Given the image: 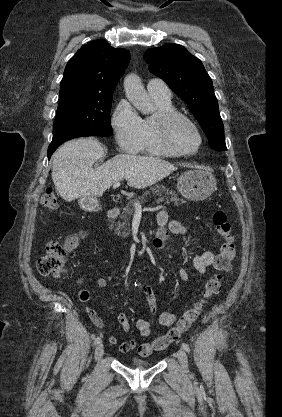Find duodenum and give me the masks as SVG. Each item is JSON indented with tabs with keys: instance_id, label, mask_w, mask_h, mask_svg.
Returning <instances> with one entry per match:
<instances>
[{
	"instance_id": "1",
	"label": "duodenum",
	"mask_w": 282,
	"mask_h": 417,
	"mask_svg": "<svg viewBox=\"0 0 282 417\" xmlns=\"http://www.w3.org/2000/svg\"><path fill=\"white\" fill-rule=\"evenodd\" d=\"M119 214H120L119 207L114 206V207L110 208V210L108 211L107 217L109 219H114V218L118 217Z\"/></svg>"
}]
</instances>
